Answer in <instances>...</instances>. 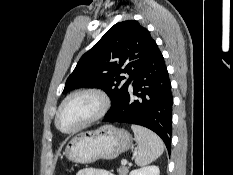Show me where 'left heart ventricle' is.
Returning <instances> with one entry per match:
<instances>
[{"label":"left heart ventricle","mask_w":233,"mask_h":175,"mask_svg":"<svg viewBox=\"0 0 233 175\" xmlns=\"http://www.w3.org/2000/svg\"><path fill=\"white\" fill-rule=\"evenodd\" d=\"M98 100L91 95H80L72 98L62 109L59 116V125L62 129L74 128L98 109Z\"/></svg>","instance_id":"obj_1"}]
</instances>
